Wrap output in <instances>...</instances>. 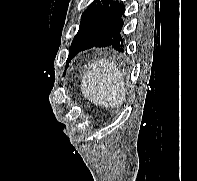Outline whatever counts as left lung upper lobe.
Listing matches in <instances>:
<instances>
[{
	"label": "left lung upper lobe",
	"mask_w": 197,
	"mask_h": 181,
	"mask_svg": "<svg viewBox=\"0 0 197 181\" xmlns=\"http://www.w3.org/2000/svg\"><path fill=\"white\" fill-rule=\"evenodd\" d=\"M112 1L113 0H94L83 12L79 31L74 37L71 47L69 48L67 64L85 45Z\"/></svg>",
	"instance_id": "5c2ea615"
}]
</instances>
